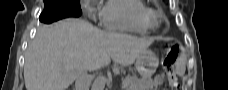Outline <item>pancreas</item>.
<instances>
[{"instance_id": "1", "label": "pancreas", "mask_w": 228, "mask_h": 90, "mask_svg": "<svg viewBox=\"0 0 228 90\" xmlns=\"http://www.w3.org/2000/svg\"><path fill=\"white\" fill-rule=\"evenodd\" d=\"M161 83L162 80L159 79H139L134 76H127L123 80L122 88L123 90H153Z\"/></svg>"}]
</instances>
